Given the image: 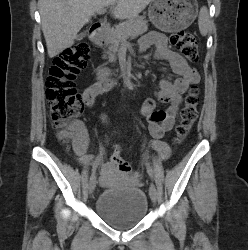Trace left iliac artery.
Listing matches in <instances>:
<instances>
[{
    "instance_id": "1",
    "label": "left iliac artery",
    "mask_w": 248,
    "mask_h": 250,
    "mask_svg": "<svg viewBox=\"0 0 248 250\" xmlns=\"http://www.w3.org/2000/svg\"><path fill=\"white\" fill-rule=\"evenodd\" d=\"M148 173H149L150 177L153 179V174H152V170L150 169V167L148 168Z\"/></svg>"
}]
</instances>
